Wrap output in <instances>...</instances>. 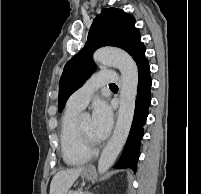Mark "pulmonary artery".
I'll list each match as a JSON object with an SVG mask.
<instances>
[{
    "label": "pulmonary artery",
    "mask_w": 201,
    "mask_h": 194,
    "mask_svg": "<svg viewBox=\"0 0 201 194\" xmlns=\"http://www.w3.org/2000/svg\"><path fill=\"white\" fill-rule=\"evenodd\" d=\"M118 79L119 77L114 71H101L92 75L82 87L69 97L67 105L82 110L99 87L115 83Z\"/></svg>",
    "instance_id": "e3ab8cb5"
}]
</instances>
